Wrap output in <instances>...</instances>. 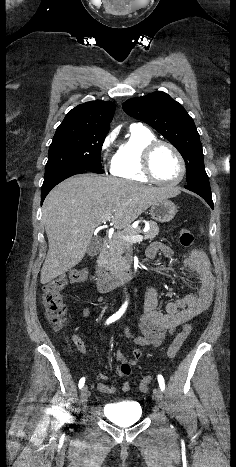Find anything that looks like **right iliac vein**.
Instances as JSON below:
<instances>
[{
	"label": "right iliac vein",
	"instance_id": "right-iliac-vein-1",
	"mask_svg": "<svg viewBox=\"0 0 236 467\" xmlns=\"http://www.w3.org/2000/svg\"><path fill=\"white\" fill-rule=\"evenodd\" d=\"M89 397V390L87 386H84L81 390L80 393V402L82 403L83 406L86 405Z\"/></svg>",
	"mask_w": 236,
	"mask_h": 467
}]
</instances>
